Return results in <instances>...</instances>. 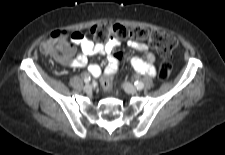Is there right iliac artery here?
<instances>
[{
	"label": "right iliac artery",
	"mask_w": 225,
	"mask_h": 155,
	"mask_svg": "<svg viewBox=\"0 0 225 155\" xmlns=\"http://www.w3.org/2000/svg\"><path fill=\"white\" fill-rule=\"evenodd\" d=\"M84 82L87 84V83H89L90 82V77H86L85 79H84Z\"/></svg>",
	"instance_id": "right-iliac-artery-1"
}]
</instances>
